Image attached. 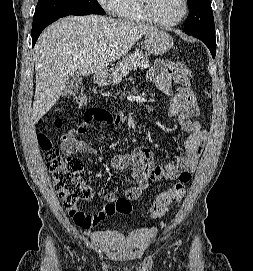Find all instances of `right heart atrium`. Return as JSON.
I'll return each mask as SVG.
<instances>
[{
    "label": "right heart atrium",
    "mask_w": 253,
    "mask_h": 271,
    "mask_svg": "<svg viewBox=\"0 0 253 271\" xmlns=\"http://www.w3.org/2000/svg\"><path fill=\"white\" fill-rule=\"evenodd\" d=\"M102 7L110 14L117 12L121 0H98Z\"/></svg>",
    "instance_id": "right-heart-atrium-1"
}]
</instances>
